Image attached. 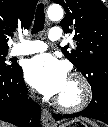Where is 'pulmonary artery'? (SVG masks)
Listing matches in <instances>:
<instances>
[{"label":"pulmonary artery","mask_w":108,"mask_h":127,"mask_svg":"<svg viewBox=\"0 0 108 127\" xmlns=\"http://www.w3.org/2000/svg\"><path fill=\"white\" fill-rule=\"evenodd\" d=\"M62 32L59 28H52L49 32V39L57 41L61 39ZM47 49V45L40 40H22L21 43L15 45L11 50V55H29L43 52Z\"/></svg>","instance_id":"1"}]
</instances>
